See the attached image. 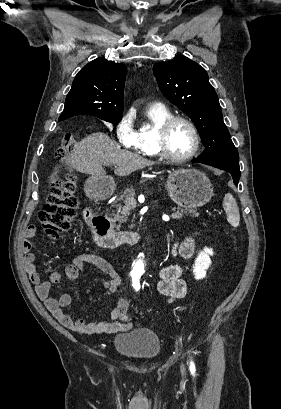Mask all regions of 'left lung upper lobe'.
I'll return each mask as SVG.
<instances>
[{"instance_id":"1","label":"left lung upper lobe","mask_w":281,"mask_h":409,"mask_svg":"<svg viewBox=\"0 0 281 409\" xmlns=\"http://www.w3.org/2000/svg\"><path fill=\"white\" fill-rule=\"evenodd\" d=\"M153 71L164 96L196 125L206 148L198 159L238 160V151L205 69L185 56H177L155 64Z\"/></svg>"}]
</instances>
